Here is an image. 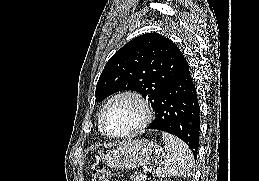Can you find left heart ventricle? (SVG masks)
<instances>
[{
    "label": "left heart ventricle",
    "instance_id": "b2bd125f",
    "mask_svg": "<svg viewBox=\"0 0 259 181\" xmlns=\"http://www.w3.org/2000/svg\"><path fill=\"white\" fill-rule=\"evenodd\" d=\"M141 110L131 99H120L113 102L105 114V126L112 134H123L138 125Z\"/></svg>",
    "mask_w": 259,
    "mask_h": 181
}]
</instances>
